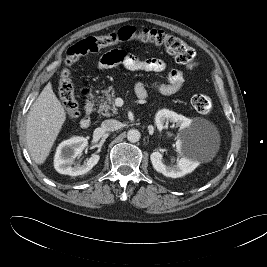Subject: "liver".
<instances>
[{"label":"liver","instance_id":"6515ba94","mask_svg":"<svg viewBox=\"0 0 267 267\" xmlns=\"http://www.w3.org/2000/svg\"><path fill=\"white\" fill-rule=\"evenodd\" d=\"M66 120V112L49 82L27 116L26 142L31 158L43 164Z\"/></svg>","mask_w":267,"mask_h":267}]
</instances>
